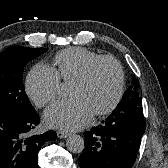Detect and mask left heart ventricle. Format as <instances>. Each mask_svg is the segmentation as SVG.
Returning a JSON list of instances; mask_svg holds the SVG:
<instances>
[{
  "instance_id": "obj_1",
  "label": "left heart ventricle",
  "mask_w": 168,
  "mask_h": 168,
  "mask_svg": "<svg viewBox=\"0 0 168 168\" xmlns=\"http://www.w3.org/2000/svg\"><path fill=\"white\" fill-rule=\"evenodd\" d=\"M117 84V69L111 62H102L84 83H72L70 95L83 98L93 113L104 108L112 99Z\"/></svg>"
}]
</instances>
